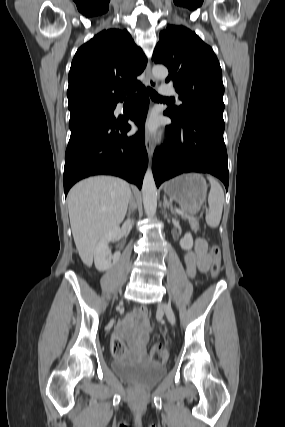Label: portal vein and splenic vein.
<instances>
[{
  "label": "portal vein and splenic vein",
  "mask_w": 285,
  "mask_h": 427,
  "mask_svg": "<svg viewBox=\"0 0 285 427\" xmlns=\"http://www.w3.org/2000/svg\"><path fill=\"white\" fill-rule=\"evenodd\" d=\"M176 213L181 214V215L185 214V212H184V211L179 210V209H176Z\"/></svg>",
  "instance_id": "1"
}]
</instances>
